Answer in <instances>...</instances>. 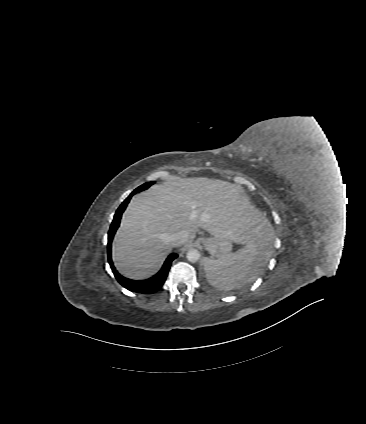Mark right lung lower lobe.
<instances>
[{
  "instance_id": "obj_1",
  "label": "right lung lower lobe",
  "mask_w": 366,
  "mask_h": 424,
  "mask_svg": "<svg viewBox=\"0 0 366 424\" xmlns=\"http://www.w3.org/2000/svg\"><path fill=\"white\" fill-rule=\"evenodd\" d=\"M138 189H135L129 196L128 198H126V200H124V202L120 205V207L118 208V210L115 213L114 219L112 221L109 233H108V245H107V251H108V261L109 264L112 268V271L116 277V279L118 280V282L125 287L126 289L133 291V292H138V293H143V294H148V293H153L155 291H157L165 282L168 271L170 269V265L171 262L178 256L177 254H171L169 255V257L166 259L162 269L160 270V272L155 275L154 277L144 280V281H134V280H130L127 279L123 276H121L115 269V267L113 266L112 263V259H111V242L113 239V236L117 230V228L119 227L120 224V219L122 216V213L124 212L128 202L130 201V198L137 192Z\"/></svg>"
}]
</instances>
